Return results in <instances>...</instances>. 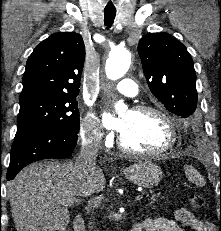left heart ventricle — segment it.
Returning <instances> with one entry per match:
<instances>
[{
	"label": "left heart ventricle",
	"mask_w": 221,
	"mask_h": 231,
	"mask_svg": "<svg viewBox=\"0 0 221 231\" xmlns=\"http://www.w3.org/2000/svg\"><path fill=\"white\" fill-rule=\"evenodd\" d=\"M121 118L125 122L121 137L130 148L154 151L162 149L170 141L167 123L156 114L127 111Z\"/></svg>",
	"instance_id": "obj_1"
}]
</instances>
